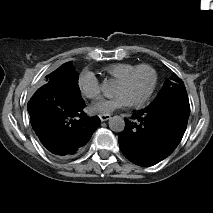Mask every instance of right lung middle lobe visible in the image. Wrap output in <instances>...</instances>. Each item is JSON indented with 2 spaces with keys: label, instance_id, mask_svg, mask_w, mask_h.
<instances>
[{
  "label": "right lung middle lobe",
  "instance_id": "dd1d6c3e",
  "mask_svg": "<svg viewBox=\"0 0 213 213\" xmlns=\"http://www.w3.org/2000/svg\"><path fill=\"white\" fill-rule=\"evenodd\" d=\"M44 83L58 84L75 93L81 94L78 86V76L74 70L72 61L64 63L57 70L47 75Z\"/></svg>",
  "mask_w": 213,
  "mask_h": 213
}]
</instances>
